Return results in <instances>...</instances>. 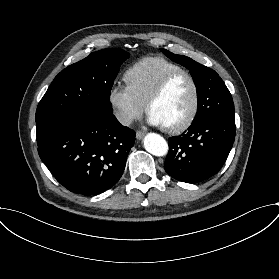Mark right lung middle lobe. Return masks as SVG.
Returning <instances> with one entry per match:
<instances>
[{"instance_id": "obj_1", "label": "right lung middle lobe", "mask_w": 279, "mask_h": 279, "mask_svg": "<svg viewBox=\"0 0 279 279\" xmlns=\"http://www.w3.org/2000/svg\"><path fill=\"white\" fill-rule=\"evenodd\" d=\"M129 58L122 49H103L62 70L53 80L36 110V121L56 110L84 108L113 114L109 101L120 65Z\"/></svg>"}]
</instances>
